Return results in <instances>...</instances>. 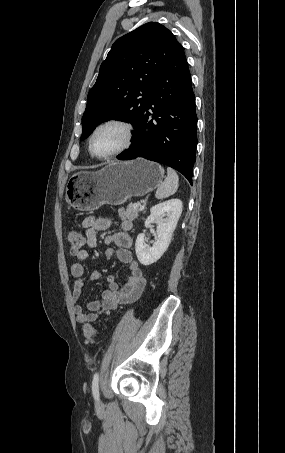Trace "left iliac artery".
Wrapping results in <instances>:
<instances>
[{
    "instance_id": "1",
    "label": "left iliac artery",
    "mask_w": 285,
    "mask_h": 453,
    "mask_svg": "<svg viewBox=\"0 0 285 453\" xmlns=\"http://www.w3.org/2000/svg\"><path fill=\"white\" fill-rule=\"evenodd\" d=\"M92 394L95 400H99V374L96 373L92 381Z\"/></svg>"
}]
</instances>
